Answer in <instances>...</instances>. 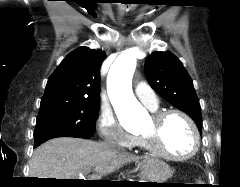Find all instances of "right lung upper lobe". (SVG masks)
I'll return each mask as SVG.
<instances>
[{"label": "right lung upper lobe", "instance_id": "1", "mask_svg": "<svg viewBox=\"0 0 240 187\" xmlns=\"http://www.w3.org/2000/svg\"><path fill=\"white\" fill-rule=\"evenodd\" d=\"M106 54L81 47L69 53L49 77L41 106L100 102V67Z\"/></svg>", "mask_w": 240, "mask_h": 187}]
</instances>
